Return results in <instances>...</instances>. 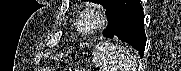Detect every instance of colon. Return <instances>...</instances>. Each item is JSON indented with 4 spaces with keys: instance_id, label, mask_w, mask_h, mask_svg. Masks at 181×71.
<instances>
[{
    "instance_id": "1",
    "label": "colon",
    "mask_w": 181,
    "mask_h": 71,
    "mask_svg": "<svg viewBox=\"0 0 181 71\" xmlns=\"http://www.w3.org/2000/svg\"><path fill=\"white\" fill-rule=\"evenodd\" d=\"M66 71H80V70L74 67H68L66 68Z\"/></svg>"
}]
</instances>
